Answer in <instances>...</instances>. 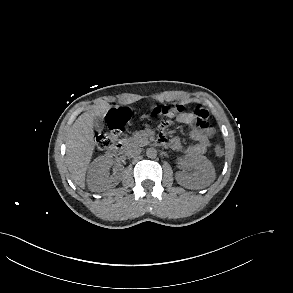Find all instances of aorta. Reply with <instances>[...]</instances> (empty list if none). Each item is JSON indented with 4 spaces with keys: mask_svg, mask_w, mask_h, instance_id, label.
I'll list each match as a JSON object with an SVG mask.
<instances>
[{
    "mask_svg": "<svg viewBox=\"0 0 293 293\" xmlns=\"http://www.w3.org/2000/svg\"><path fill=\"white\" fill-rule=\"evenodd\" d=\"M146 156L148 158H155L157 156V150L154 147H150L146 150Z\"/></svg>",
    "mask_w": 293,
    "mask_h": 293,
    "instance_id": "obj_1",
    "label": "aorta"
}]
</instances>
